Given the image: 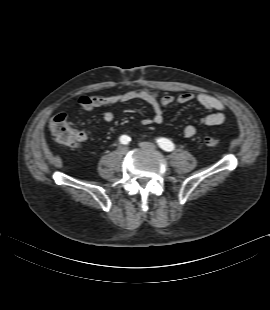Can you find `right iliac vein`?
I'll return each instance as SVG.
<instances>
[{
  "mask_svg": "<svg viewBox=\"0 0 270 310\" xmlns=\"http://www.w3.org/2000/svg\"><path fill=\"white\" fill-rule=\"evenodd\" d=\"M119 151H120V153L121 154H127V152H128V147L127 146H121L120 148H119Z\"/></svg>",
  "mask_w": 270,
  "mask_h": 310,
  "instance_id": "1",
  "label": "right iliac vein"
}]
</instances>
